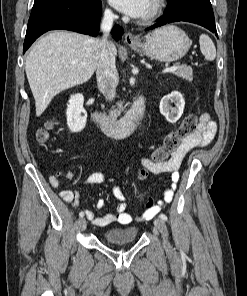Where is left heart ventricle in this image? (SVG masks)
<instances>
[{"mask_svg": "<svg viewBox=\"0 0 247 296\" xmlns=\"http://www.w3.org/2000/svg\"><path fill=\"white\" fill-rule=\"evenodd\" d=\"M151 7H152V2H151L150 7H149V9H148V11H147V13H146L145 15L148 14V12L150 11ZM145 15H144V16H145Z\"/></svg>", "mask_w": 247, "mask_h": 296, "instance_id": "1", "label": "left heart ventricle"}]
</instances>
